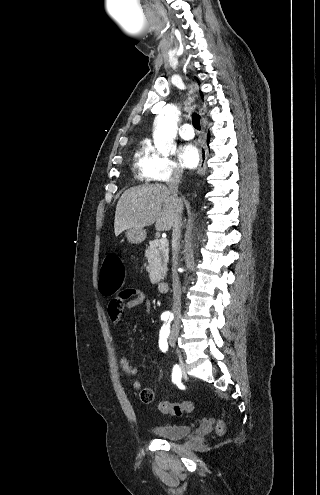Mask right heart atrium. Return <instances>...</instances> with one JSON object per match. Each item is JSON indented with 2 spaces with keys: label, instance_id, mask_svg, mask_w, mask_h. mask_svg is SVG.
<instances>
[{
  "label": "right heart atrium",
  "instance_id": "right-heart-atrium-1",
  "mask_svg": "<svg viewBox=\"0 0 320 495\" xmlns=\"http://www.w3.org/2000/svg\"><path fill=\"white\" fill-rule=\"evenodd\" d=\"M146 168L148 179L165 182L182 174V167L170 156L151 152L147 156Z\"/></svg>",
  "mask_w": 320,
  "mask_h": 495
}]
</instances>
